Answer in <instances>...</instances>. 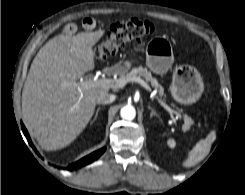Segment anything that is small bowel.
Listing matches in <instances>:
<instances>
[{"mask_svg":"<svg viewBox=\"0 0 245 195\" xmlns=\"http://www.w3.org/2000/svg\"><path fill=\"white\" fill-rule=\"evenodd\" d=\"M97 25V21L94 18H85L83 20V27L85 29H94ZM77 31V26L73 23H69L64 27V32L66 34H73Z\"/></svg>","mask_w":245,"mask_h":195,"instance_id":"obj_1","label":"small bowel"}]
</instances>
